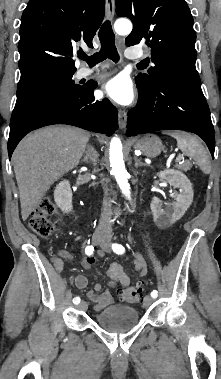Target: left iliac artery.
Returning <instances> with one entry per match:
<instances>
[{
  "label": "left iliac artery",
  "instance_id": "44dca946",
  "mask_svg": "<svg viewBox=\"0 0 221 379\" xmlns=\"http://www.w3.org/2000/svg\"><path fill=\"white\" fill-rule=\"evenodd\" d=\"M112 249L117 254H123L125 252V248L117 243L112 244ZM158 296V292L156 290H153L151 292V297L156 298Z\"/></svg>",
  "mask_w": 221,
  "mask_h": 379
}]
</instances>
